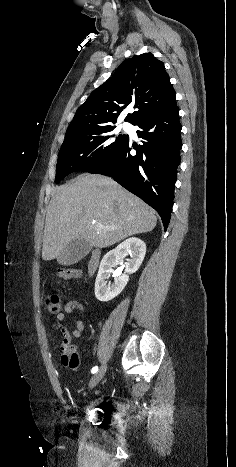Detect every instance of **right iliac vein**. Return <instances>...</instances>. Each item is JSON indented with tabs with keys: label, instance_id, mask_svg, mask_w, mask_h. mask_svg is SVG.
I'll return each instance as SVG.
<instances>
[{
	"label": "right iliac vein",
	"instance_id": "63e3f726",
	"mask_svg": "<svg viewBox=\"0 0 236 467\" xmlns=\"http://www.w3.org/2000/svg\"><path fill=\"white\" fill-rule=\"evenodd\" d=\"M107 370V366L104 365L102 366L91 378L89 382V388L92 389L94 388L104 377L105 373Z\"/></svg>",
	"mask_w": 236,
	"mask_h": 467
}]
</instances>
